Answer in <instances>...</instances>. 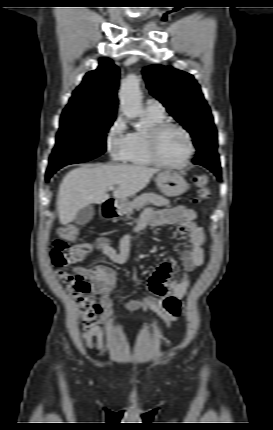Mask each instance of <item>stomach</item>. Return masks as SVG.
Returning <instances> with one entry per match:
<instances>
[{
	"label": "stomach",
	"instance_id": "0dacf381",
	"mask_svg": "<svg viewBox=\"0 0 273 430\" xmlns=\"http://www.w3.org/2000/svg\"><path fill=\"white\" fill-rule=\"evenodd\" d=\"M156 183L161 192L168 197L182 195L188 189L185 179L175 171L164 170L157 175ZM127 207L126 199H121L117 206L119 211H124Z\"/></svg>",
	"mask_w": 273,
	"mask_h": 430
}]
</instances>
